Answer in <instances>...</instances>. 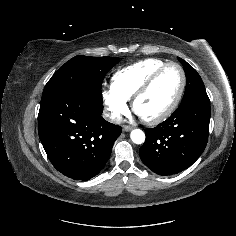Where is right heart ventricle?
I'll return each instance as SVG.
<instances>
[{"label": "right heart ventricle", "mask_w": 236, "mask_h": 236, "mask_svg": "<svg viewBox=\"0 0 236 236\" xmlns=\"http://www.w3.org/2000/svg\"><path fill=\"white\" fill-rule=\"evenodd\" d=\"M166 64L160 59H146L119 69L112 77L111 86L126 100L132 99L142 84L161 66Z\"/></svg>", "instance_id": "e07e8e85"}]
</instances>
